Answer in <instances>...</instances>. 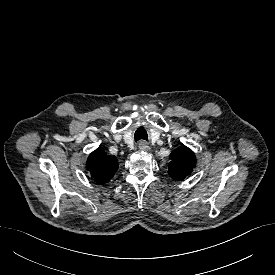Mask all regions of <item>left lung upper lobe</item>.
I'll list each match as a JSON object with an SVG mask.
<instances>
[{
  "label": "left lung upper lobe",
  "mask_w": 275,
  "mask_h": 275,
  "mask_svg": "<svg viewBox=\"0 0 275 275\" xmlns=\"http://www.w3.org/2000/svg\"><path fill=\"white\" fill-rule=\"evenodd\" d=\"M169 158L171 162L168 165V174L174 180H183L192 172L196 163L192 150L183 144L172 151Z\"/></svg>",
  "instance_id": "obj_1"
}]
</instances>
